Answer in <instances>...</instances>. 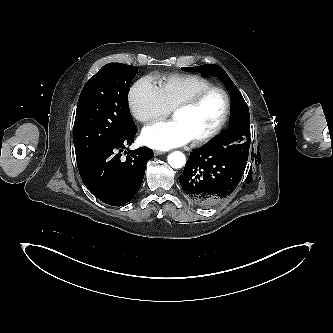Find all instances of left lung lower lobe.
I'll return each instance as SVG.
<instances>
[{"label": "left lung lower lobe", "mask_w": 333, "mask_h": 333, "mask_svg": "<svg viewBox=\"0 0 333 333\" xmlns=\"http://www.w3.org/2000/svg\"><path fill=\"white\" fill-rule=\"evenodd\" d=\"M245 167L246 163L207 145L190 154L179 181L193 203L212 207L236 189Z\"/></svg>", "instance_id": "obj_1"}]
</instances>
